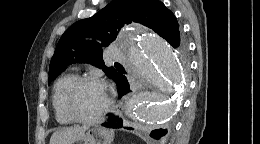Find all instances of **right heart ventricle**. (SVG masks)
I'll return each instance as SVG.
<instances>
[{"label":"right heart ventricle","instance_id":"obj_1","mask_svg":"<svg viewBox=\"0 0 260 144\" xmlns=\"http://www.w3.org/2000/svg\"><path fill=\"white\" fill-rule=\"evenodd\" d=\"M78 78L74 72L67 73L61 76L54 85L52 106L55 119L60 125H69L73 122L64 110V99L67 91Z\"/></svg>","mask_w":260,"mask_h":144}]
</instances>
